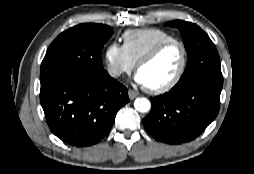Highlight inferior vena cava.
Masks as SVG:
<instances>
[{
	"label": "inferior vena cava",
	"mask_w": 254,
	"mask_h": 174,
	"mask_svg": "<svg viewBox=\"0 0 254 174\" xmlns=\"http://www.w3.org/2000/svg\"><path fill=\"white\" fill-rule=\"evenodd\" d=\"M121 73H122V72H121L120 70H118V69H112V70H110V74H111V76H113V77L120 76Z\"/></svg>",
	"instance_id": "602c4592"
}]
</instances>
